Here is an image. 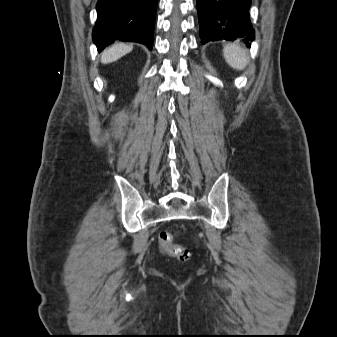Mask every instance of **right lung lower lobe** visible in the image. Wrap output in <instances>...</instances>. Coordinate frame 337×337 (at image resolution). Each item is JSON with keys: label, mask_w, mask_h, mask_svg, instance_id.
Here are the masks:
<instances>
[{"label": "right lung lower lobe", "mask_w": 337, "mask_h": 337, "mask_svg": "<svg viewBox=\"0 0 337 337\" xmlns=\"http://www.w3.org/2000/svg\"><path fill=\"white\" fill-rule=\"evenodd\" d=\"M157 0H98L92 37L100 52L114 41H131L152 49Z\"/></svg>", "instance_id": "right-lung-lower-lobe-1"}]
</instances>
